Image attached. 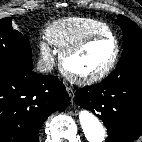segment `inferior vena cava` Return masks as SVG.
<instances>
[{"instance_id": "obj_1", "label": "inferior vena cava", "mask_w": 142, "mask_h": 142, "mask_svg": "<svg viewBox=\"0 0 142 142\" xmlns=\"http://www.w3.org/2000/svg\"><path fill=\"white\" fill-rule=\"evenodd\" d=\"M54 64L55 63L53 59L40 60L37 63V70L42 73L51 71L54 67Z\"/></svg>"}]
</instances>
